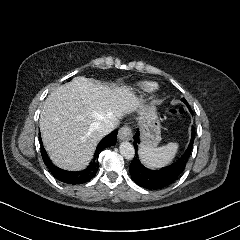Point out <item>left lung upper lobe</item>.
<instances>
[{
    "mask_svg": "<svg viewBox=\"0 0 240 240\" xmlns=\"http://www.w3.org/2000/svg\"><path fill=\"white\" fill-rule=\"evenodd\" d=\"M182 101H183L184 103H186V104H187V102H186V100H185V99H183Z\"/></svg>",
    "mask_w": 240,
    "mask_h": 240,
    "instance_id": "obj_1",
    "label": "left lung upper lobe"
}]
</instances>
